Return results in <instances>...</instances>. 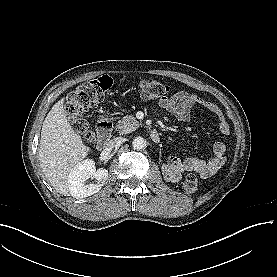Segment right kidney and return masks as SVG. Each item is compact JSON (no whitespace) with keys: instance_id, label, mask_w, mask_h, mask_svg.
Masks as SVG:
<instances>
[{"instance_id":"obj_1","label":"right kidney","mask_w":277,"mask_h":277,"mask_svg":"<svg viewBox=\"0 0 277 277\" xmlns=\"http://www.w3.org/2000/svg\"><path fill=\"white\" fill-rule=\"evenodd\" d=\"M108 171L99 169L96 171L95 162L92 159H85L78 163L71 171L69 178L72 188H74L81 198L91 196L101 189V184H89L85 182L90 177L96 178L100 183L106 181Z\"/></svg>"}]
</instances>
